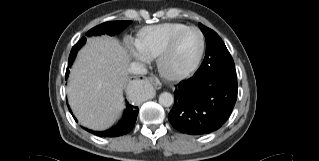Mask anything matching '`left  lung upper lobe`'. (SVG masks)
<instances>
[{
	"mask_svg": "<svg viewBox=\"0 0 319 161\" xmlns=\"http://www.w3.org/2000/svg\"><path fill=\"white\" fill-rule=\"evenodd\" d=\"M206 39V54L200 68L193 76L221 73L236 77L234 61L219 35L199 23Z\"/></svg>",
	"mask_w": 319,
	"mask_h": 161,
	"instance_id": "left-lung-upper-lobe-1",
	"label": "left lung upper lobe"
}]
</instances>
